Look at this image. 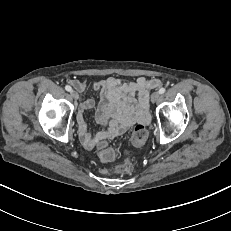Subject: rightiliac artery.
<instances>
[{
    "instance_id": "right-iliac-artery-1",
    "label": "right iliac artery",
    "mask_w": 231,
    "mask_h": 231,
    "mask_svg": "<svg viewBox=\"0 0 231 231\" xmlns=\"http://www.w3.org/2000/svg\"><path fill=\"white\" fill-rule=\"evenodd\" d=\"M65 90L68 91V92H71V91H72V88H71V86L66 85V86H65Z\"/></svg>"
}]
</instances>
